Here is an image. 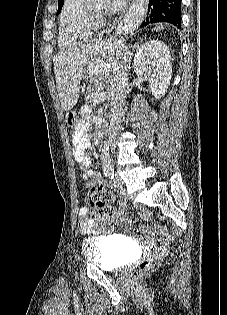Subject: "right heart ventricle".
Returning a JSON list of instances; mask_svg holds the SVG:
<instances>
[{"instance_id": "1", "label": "right heart ventricle", "mask_w": 227, "mask_h": 315, "mask_svg": "<svg viewBox=\"0 0 227 315\" xmlns=\"http://www.w3.org/2000/svg\"><path fill=\"white\" fill-rule=\"evenodd\" d=\"M99 29L86 15L84 0H64L58 19V43L63 49L93 38Z\"/></svg>"}]
</instances>
